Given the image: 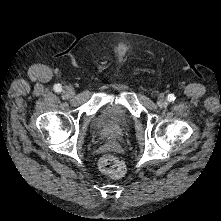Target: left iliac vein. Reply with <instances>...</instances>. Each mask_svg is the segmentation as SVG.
Returning <instances> with one entry per match:
<instances>
[{
	"mask_svg": "<svg viewBox=\"0 0 221 221\" xmlns=\"http://www.w3.org/2000/svg\"><path fill=\"white\" fill-rule=\"evenodd\" d=\"M157 104H158L160 107H164V106L167 105V101H166V99H165L164 97H161V98L158 99Z\"/></svg>",
	"mask_w": 221,
	"mask_h": 221,
	"instance_id": "obj_1",
	"label": "left iliac vein"
}]
</instances>
